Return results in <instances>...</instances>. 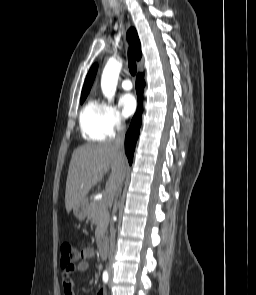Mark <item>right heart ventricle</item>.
I'll return each mask as SVG.
<instances>
[{
	"mask_svg": "<svg viewBox=\"0 0 256 295\" xmlns=\"http://www.w3.org/2000/svg\"><path fill=\"white\" fill-rule=\"evenodd\" d=\"M80 129L82 136L92 142L109 138L105 124V105L95 99H89L80 112Z\"/></svg>",
	"mask_w": 256,
	"mask_h": 295,
	"instance_id": "1",
	"label": "right heart ventricle"
}]
</instances>
